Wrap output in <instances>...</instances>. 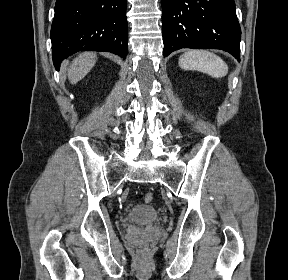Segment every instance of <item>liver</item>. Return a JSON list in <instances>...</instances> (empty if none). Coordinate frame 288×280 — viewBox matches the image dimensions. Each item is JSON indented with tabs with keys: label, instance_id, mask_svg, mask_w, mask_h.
Wrapping results in <instances>:
<instances>
[{
	"label": "liver",
	"instance_id": "obj_1",
	"mask_svg": "<svg viewBox=\"0 0 288 280\" xmlns=\"http://www.w3.org/2000/svg\"><path fill=\"white\" fill-rule=\"evenodd\" d=\"M95 58L96 55L94 53L86 52L74 59L68 71V79L71 84H76L91 71L95 65Z\"/></svg>",
	"mask_w": 288,
	"mask_h": 280
}]
</instances>
